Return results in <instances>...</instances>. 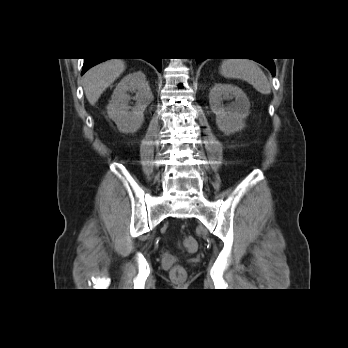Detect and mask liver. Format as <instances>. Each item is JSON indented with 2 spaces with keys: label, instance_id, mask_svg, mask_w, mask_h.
Listing matches in <instances>:
<instances>
[{
  "label": "liver",
  "instance_id": "liver-1",
  "mask_svg": "<svg viewBox=\"0 0 348 348\" xmlns=\"http://www.w3.org/2000/svg\"><path fill=\"white\" fill-rule=\"evenodd\" d=\"M125 63L121 59H109L88 70L83 78L86 98L91 105L124 72Z\"/></svg>",
  "mask_w": 348,
  "mask_h": 348
}]
</instances>
